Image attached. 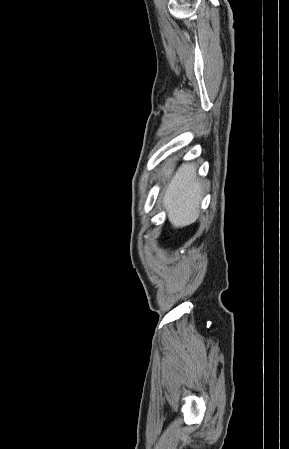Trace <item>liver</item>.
<instances>
[{"instance_id":"obj_1","label":"liver","mask_w":289,"mask_h":449,"mask_svg":"<svg viewBox=\"0 0 289 449\" xmlns=\"http://www.w3.org/2000/svg\"><path fill=\"white\" fill-rule=\"evenodd\" d=\"M174 165L162 170V176L170 179L163 197V207L174 228H182L194 223L200 214L202 201V184L196 177V167L192 164L183 165L171 177Z\"/></svg>"}]
</instances>
